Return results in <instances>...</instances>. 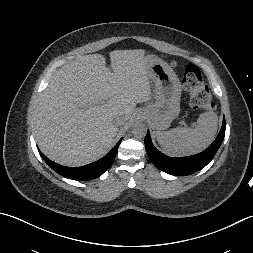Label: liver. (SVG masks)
<instances>
[{"label":"liver","mask_w":253,"mask_h":253,"mask_svg":"<svg viewBox=\"0 0 253 253\" xmlns=\"http://www.w3.org/2000/svg\"><path fill=\"white\" fill-rule=\"evenodd\" d=\"M81 56L54 71L33 110L41 151L65 166H83L106 153L138 103L152 98L144 50ZM120 125V126H121Z\"/></svg>","instance_id":"6515ba94"}]
</instances>
